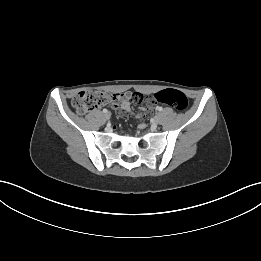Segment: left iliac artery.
Here are the masks:
<instances>
[{"instance_id":"1","label":"left iliac artery","mask_w":261,"mask_h":261,"mask_svg":"<svg viewBox=\"0 0 261 261\" xmlns=\"http://www.w3.org/2000/svg\"><path fill=\"white\" fill-rule=\"evenodd\" d=\"M158 111H162V107H160V106H158L157 108H156Z\"/></svg>"}]
</instances>
